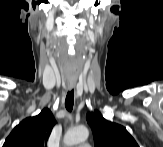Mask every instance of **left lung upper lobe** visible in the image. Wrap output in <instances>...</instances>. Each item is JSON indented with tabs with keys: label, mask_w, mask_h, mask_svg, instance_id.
Masks as SVG:
<instances>
[{
	"label": "left lung upper lobe",
	"mask_w": 163,
	"mask_h": 147,
	"mask_svg": "<svg viewBox=\"0 0 163 147\" xmlns=\"http://www.w3.org/2000/svg\"><path fill=\"white\" fill-rule=\"evenodd\" d=\"M87 122L93 131L95 147H138L125 127L107 121L98 111L88 113Z\"/></svg>",
	"instance_id": "5c2ea615"
}]
</instances>
